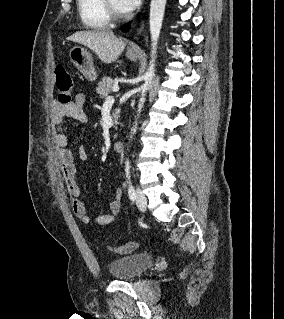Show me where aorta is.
<instances>
[{"mask_svg":"<svg viewBox=\"0 0 284 319\" xmlns=\"http://www.w3.org/2000/svg\"><path fill=\"white\" fill-rule=\"evenodd\" d=\"M166 0H151L150 4V16H149V27H150V38H151V53L149 60V67L144 74V84L140 87L141 96L137 106V119L143 108L146 93L150 88L151 82L155 75V61L157 54L158 41L162 28V22L165 12ZM137 130V120L135 121L131 129V137Z\"/></svg>","mask_w":284,"mask_h":319,"instance_id":"1","label":"aorta"}]
</instances>
